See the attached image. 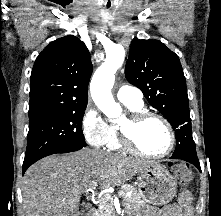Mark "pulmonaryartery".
I'll list each match as a JSON object with an SVG mask.
<instances>
[{
	"instance_id": "obj_1",
	"label": "pulmonary artery",
	"mask_w": 221,
	"mask_h": 216,
	"mask_svg": "<svg viewBox=\"0 0 221 216\" xmlns=\"http://www.w3.org/2000/svg\"><path fill=\"white\" fill-rule=\"evenodd\" d=\"M117 98L123 103H141L143 102L142 92L130 85H122L117 90Z\"/></svg>"
}]
</instances>
